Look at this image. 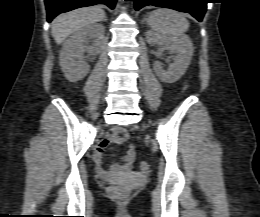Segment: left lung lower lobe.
<instances>
[{
    "label": "left lung lower lobe",
    "mask_w": 260,
    "mask_h": 217,
    "mask_svg": "<svg viewBox=\"0 0 260 217\" xmlns=\"http://www.w3.org/2000/svg\"><path fill=\"white\" fill-rule=\"evenodd\" d=\"M128 1L135 2L136 10H139L142 7L148 5L171 8L177 11L190 13L198 21H202L208 3V0H128Z\"/></svg>",
    "instance_id": "left-lung-lower-lobe-1"
}]
</instances>
